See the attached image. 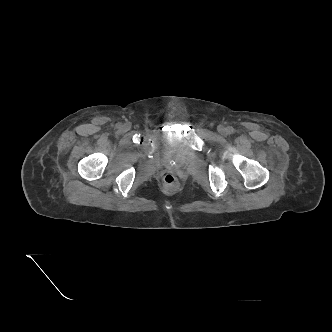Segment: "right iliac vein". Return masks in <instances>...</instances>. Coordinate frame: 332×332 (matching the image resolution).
<instances>
[{
  "instance_id": "63e3f726",
  "label": "right iliac vein",
  "mask_w": 332,
  "mask_h": 332,
  "mask_svg": "<svg viewBox=\"0 0 332 332\" xmlns=\"http://www.w3.org/2000/svg\"><path fill=\"white\" fill-rule=\"evenodd\" d=\"M122 129H123L124 131L129 130V129H130V124H128V123L124 124V125L122 126Z\"/></svg>"
}]
</instances>
